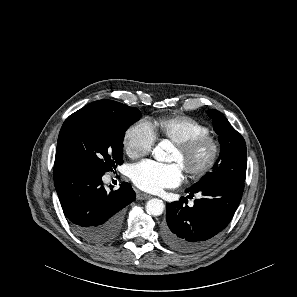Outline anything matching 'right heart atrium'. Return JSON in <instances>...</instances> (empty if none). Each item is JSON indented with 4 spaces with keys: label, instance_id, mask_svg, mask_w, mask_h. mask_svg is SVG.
Returning <instances> with one entry per match:
<instances>
[{
    "label": "right heart atrium",
    "instance_id": "1",
    "mask_svg": "<svg viewBox=\"0 0 297 297\" xmlns=\"http://www.w3.org/2000/svg\"><path fill=\"white\" fill-rule=\"evenodd\" d=\"M156 135L152 125L141 120L130 126L124 135V149L133 159L149 154L154 146Z\"/></svg>",
    "mask_w": 297,
    "mask_h": 297
}]
</instances>
